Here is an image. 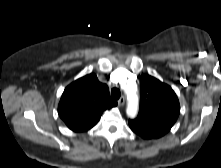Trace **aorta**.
Segmentation results:
<instances>
[{
    "label": "aorta",
    "mask_w": 221,
    "mask_h": 168,
    "mask_svg": "<svg viewBox=\"0 0 221 168\" xmlns=\"http://www.w3.org/2000/svg\"><path fill=\"white\" fill-rule=\"evenodd\" d=\"M128 105H127V116L130 118H134L138 112V96L136 91H129L127 93Z\"/></svg>",
    "instance_id": "obj_1"
}]
</instances>
